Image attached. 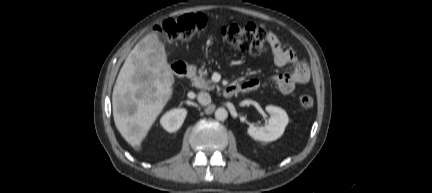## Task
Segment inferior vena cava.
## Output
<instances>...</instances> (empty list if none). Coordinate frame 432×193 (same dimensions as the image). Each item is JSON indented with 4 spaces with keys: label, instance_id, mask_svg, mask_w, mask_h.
<instances>
[{
    "label": "inferior vena cava",
    "instance_id": "1",
    "mask_svg": "<svg viewBox=\"0 0 432 193\" xmlns=\"http://www.w3.org/2000/svg\"><path fill=\"white\" fill-rule=\"evenodd\" d=\"M198 102L201 105H209L211 103V96L207 92H200L197 96Z\"/></svg>",
    "mask_w": 432,
    "mask_h": 193
}]
</instances>
